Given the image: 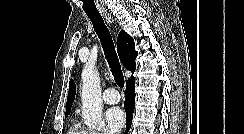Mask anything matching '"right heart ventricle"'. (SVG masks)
Listing matches in <instances>:
<instances>
[{
  "mask_svg": "<svg viewBox=\"0 0 244 134\" xmlns=\"http://www.w3.org/2000/svg\"><path fill=\"white\" fill-rule=\"evenodd\" d=\"M67 134H93V132L82 126L79 122H73Z\"/></svg>",
  "mask_w": 244,
  "mask_h": 134,
  "instance_id": "right-heart-ventricle-1",
  "label": "right heart ventricle"
}]
</instances>
